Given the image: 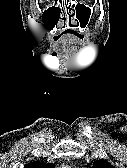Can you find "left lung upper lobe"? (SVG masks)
<instances>
[{"label": "left lung upper lobe", "mask_w": 127, "mask_h": 168, "mask_svg": "<svg viewBox=\"0 0 127 168\" xmlns=\"http://www.w3.org/2000/svg\"><path fill=\"white\" fill-rule=\"evenodd\" d=\"M93 168H114V166L106 160H97L94 162Z\"/></svg>", "instance_id": "5c2ea615"}]
</instances>
